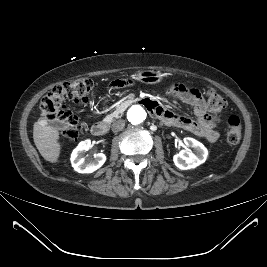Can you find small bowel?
Returning <instances> with one entry per match:
<instances>
[{"mask_svg": "<svg viewBox=\"0 0 267 267\" xmlns=\"http://www.w3.org/2000/svg\"><path fill=\"white\" fill-rule=\"evenodd\" d=\"M131 83V80H116L111 84L112 89L121 88ZM169 94L178 98L183 103L192 107L196 119L178 115L166 109L158 102H151V110L166 124L189 131L209 142H216L220 134L217 131V123L207 113V107L200 92L193 87L182 83L170 85Z\"/></svg>", "mask_w": 267, "mask_h": 267, "instance_id": "c3829d8e", "label": "small bowel"}]
</instances>
